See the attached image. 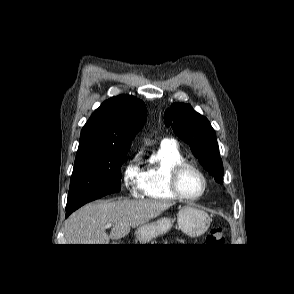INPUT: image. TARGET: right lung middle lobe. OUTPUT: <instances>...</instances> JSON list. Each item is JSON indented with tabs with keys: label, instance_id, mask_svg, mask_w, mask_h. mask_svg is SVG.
<instances>
[{
	"label": "right lung middle lobe",
	"instance_id": "1",
	"mask_svg": "<svg viewBox=\"0 0 294 294\" xmlns=\"http://www.w3.org/2000/svg\"><path fill=\"white\" fill-rule=\"evenodd\" d=\"M129 149H78L70 181L67 208L120 191V168Z\"/></svg>",
	"mask_w": 294,
	"mask_h": 294
}]
</instances>
